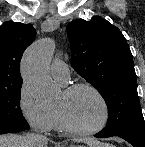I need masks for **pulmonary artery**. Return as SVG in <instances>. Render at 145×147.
Here are the masks:
<instances>
[{"label": "pulmonary artery", "instance_id": "obj_1", "mask_svg": "<svg viewBox=\"0 0 145 147\" xmlns=\"http://www.w3.org/2000/svg\"><path fill=\"white\" fill-rule=\"evenodd\" d=\"M51 74L59 82L66 83L69 79L68 65L60 59H55L51 64Z\"/></svg>", "mask_w": 145, "mask_h": 147}]
</instances>
